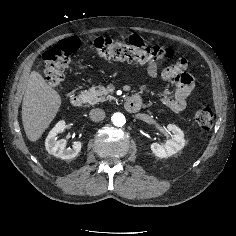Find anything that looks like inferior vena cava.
Returning a JSON list of instances; mask_svg holds the SVG:
<instances>
[{
  "label": "inferior vena cava",
  "mask_w": 236,
  "mask_h": 236,
  "mask_svg": "<svg viewBox=\"0 0 236 236\" xmlns=\"http://www.w3.org/2000/svg\"><path fill=\"white\" fill-rule=\"evenodd\" d=\"M92 121H101L105 118V111L100 108H94L89 113Z\"/></svg>",
  "instance_id": "602c4592"
}]
</instances>
